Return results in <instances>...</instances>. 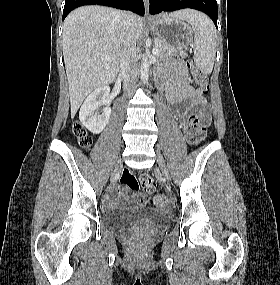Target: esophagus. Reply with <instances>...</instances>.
Here are the masks:
<instances>
[{
    "label": "esophagus",
    "mask_w": 280,
    "mask_h": 285,
    "mask_svg": "<svg viewBox=\"0 0 280 285\" xmlns=\"http://www.w3.org/2000/svg\"><path fill=\"white\" fill-rule=\"evenodd\" d=\"M146 17L149 19V0H144Z\"/></svg>",
    "instance_id": "obj_1"
}]
</instances>
